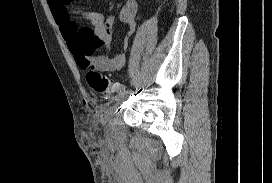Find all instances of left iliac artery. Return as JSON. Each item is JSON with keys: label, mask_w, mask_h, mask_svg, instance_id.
I'll return each mask as SVG.
<instances>
[{"label": "left iliac artery", "mask_w": 272, "mask_h": 183, "mask_svg": "<svg viewBox=\"0 0 272 183\" xmlns=\"http://www.w3.org/2000/svg\"><path fill=\"white\" fill-rule=\"evenodd\" d=\"M119 93H126V86L125 85H121L120 87H119Z\"/></svg>", "instance_id": "1"}]
</instances>
